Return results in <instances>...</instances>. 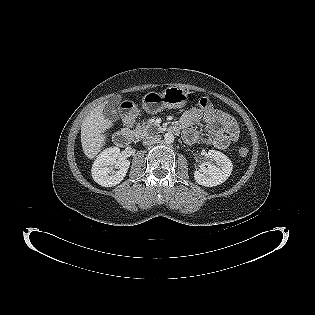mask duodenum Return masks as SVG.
Segmentation results:
<instances>
[{
	"mask_svg": "<svg viewBox=\"0 0 315 315\" xmlns=\"http://www.w3.org/2000/svg\"><path fill=\"white\" fill-rule=\"evenodd\" d=\"M132 123L133 120L129 122L124 121V127L114 134L113 141L117 146L125 147L130 143L132 137ZM168 132L172 134H179L180 129L177 126L172 125L168 127Z\"/></svg>",
	"mask_w": 315,
	"mask_h": 315,
	"instance_id": "410a0bca",
	"label": "duodenum"
}]
</instances>
